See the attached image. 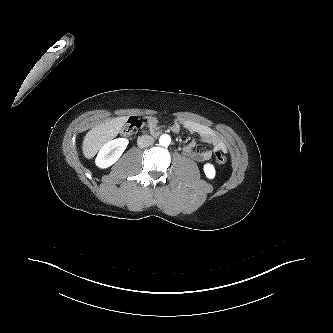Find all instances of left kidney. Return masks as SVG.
<instances>
[{
    "instance_id": "left-kidney-1",
    "label": "left kidney",
    "mask_w": 333,
    "mask_h": 333,
    "mask_svg": "<svg viewBox=\"0 0 333 333\" xmlns=\"http://www.w3.org/2000/svg\"><path fill=\"white\" fill-rule=\"evenodd\" d=\"M203 169L208 179H213L215 177V168L212 164L206 163Z\"/></svg>"
}]
</instances>
